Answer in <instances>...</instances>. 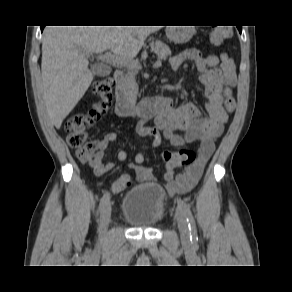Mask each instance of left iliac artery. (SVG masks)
I'll list each match as a JSON object with an SVG mask.
<instances>
[{
    "instance_id": "left-iliac-artery-1",
    "label": "left iliac artery",
    "mask_w": 292,
    "mask_h": 292,
    "mask_svg": "<svg viewBox=\"0 0 292 292\" xmlns=\"http://www.w3.org/2000/svg\"><path fill=\"white\" fill-rule=\"evenodd\" d=\"M177 202H178V207L184 212L186 216L189 231H190V239L193 241L198 240L196 223L192 215V212L190 210V207L181 199H177Z\"/></svg>"
}]
</instances>
